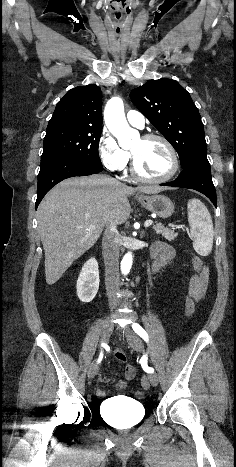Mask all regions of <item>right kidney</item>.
<instances>
[{
	"label": "right kidney",
	"instance_id": "obj_1",
	"mask_svg": "<svg viewBox=\"0 0 236 467\" xmlns=\"http://www.w3.org/2000/svg\"><path fill=\"white\" fill-rule=\"evenodd\" d=\"M99 269L95 258L89 259L82 267L77 280V295L84 303L91 302L99 289Z\"/></svg>",
	"mask_w": 236,
	"mask_h": 467
}]
</instances>
